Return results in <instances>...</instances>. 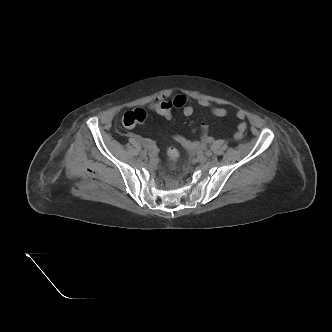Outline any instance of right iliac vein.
<instances>
[{
	"mask_svg": "<svg viewBox=\"0 0 332 332\" xmlns=\"http://www.w3.org/2000/svg\"><path fill=\"white\" fill-rule=\"evenodd\" d=\"M148 152H149V151H147V150H142V151H141V155H142V156H146V155L148 154Z\"/></svg>",
	"mask_w": 332,
	"mask_h": 332,
	"instance_id": "obj_1",
	"label": "right iliac vein"
}]
</instances>
